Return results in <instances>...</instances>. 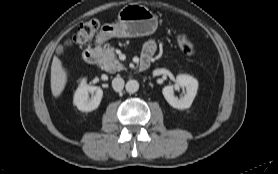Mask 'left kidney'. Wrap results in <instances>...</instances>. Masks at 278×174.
I'll list each match as a JSON object with an SVG mask.
<instances>
[{
    "label": "left kidney",
    "instance_id": "5707ae66",
    "mask_svg": "<svg viewBox=\"0 0 278 174\" xmlns=\"http://www.w3.org/2000/svg\"><path fill=\"white\" fill-rule=\"evenodd\" d=\"M185 88L186 93L180 98L174 96V90ZM198 81L190 75L180 74L176 78L175 85L165 86L162 90L166 101L177 109H186L192 105V102L197 94Z\"/></svg>",
    "mask_w": 278,
    "mask_h": 174
}]
</instances>
